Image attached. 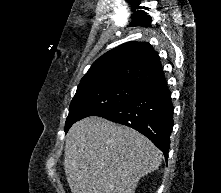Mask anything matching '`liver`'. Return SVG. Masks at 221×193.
<instances>
[{"label": "liver", "mask_w": 221, "mask_h": 193, "mask_svg": "<svg viewBox=\"0 0 221 193\" xmlns=\"http://www.w3.org/2000/svg\"><path fill=\"white\" fill-rule=\"evenodd\" d=\"M64 157L72 193H135L138 181L162 162L144 135L97 116L69 129Z\"/></svg>", "instance_id": "6515ba94"}]
</instances>
